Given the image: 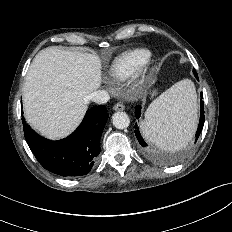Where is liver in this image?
Masks as SVG:
<instances>
[{
    "label": "liver",
    "mask_w": 232,
    "mask_h": 232,
    "mask_svg": "<svg viewBox=\"0 0 232 232\" xmlns=\"http://www.w3.org/2000/svg\"><path fill=\"white\" fill-rule=\"evenodd\" d=\"M101 75V61L94 52L41 50L24 82L25 118L49 139L69 135L81 122L88 96L100 86Z\"/></svg>",
    "instance_id": "6515ba94"
}]
</instances>
